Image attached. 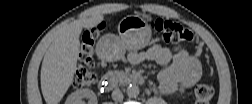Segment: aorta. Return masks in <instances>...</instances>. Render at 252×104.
Listing matches in <instances>:
<instances>
[{"mask_svg":"<svg viewBox=\"0 0 252 104\" xmlns=\"http://www.w3.org/2000/svg\"><path fill=\"white\" fill-rule=\"evenodd\" d=\"M126 93L127 95L130 97V98H136L139 93H140V90H139V87L137 85H129L126 89Z\"/></svg>","mask_w":252,"mask_h":104,"instance_id":"aorta-1","label":"aorta"}]
</instances>
